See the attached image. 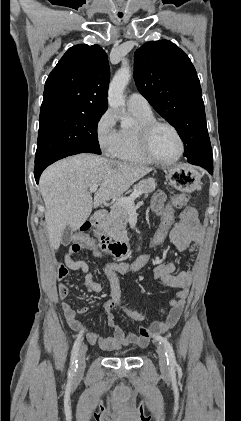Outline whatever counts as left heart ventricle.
Returning a JSON list of instances; mask_svg holds the SVG:
<instances>
[{
  "label": "left heart ventricle",
  "instance_id": "b2bd125f",
  "mask_svg": "<svg viewBox=\"0 0 241 421\" xmlns=\"http://www.w3.org/2000/svg\"><path fill=\"white\" fill-rule=\"evenodd\" d=\"M154 154L162 160H170L177 156L180 145L175 133L168 127H158L151 139Z\"/></svg>",
  "mask_w": 241,
  "mask_h": 421
}]
</instances>
